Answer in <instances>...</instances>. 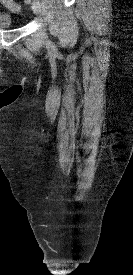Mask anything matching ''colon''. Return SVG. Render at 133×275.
<instances>
[{
	"instance_id": "obj_1",
	"label": "colon",
	"mask_w": 133,
	"mask_h": 275,
	"mask_svg": "<svg viewBox=\"0 0 133 275\" xmlns=\"http://www.w3.org/2000/svg\"><path fill=\"white\" fill-rule=\"evenodd\" d=\"M9 8L12 11H18V9H19L18 5H16L15 3H10Z\"/></svg>"
}]
</instances>
